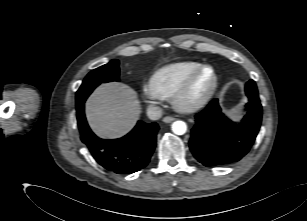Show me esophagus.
I'll use <instances>...</instances> for the list:
<instances>
[{"instance_id":"obj_1","label":"esophagus","mask_w":307,"mask_h":221,"mask_svg":"<svg viewBox=\"0 0 307 221\" xmlns=\"http://www.w3.org/2000/svg\"><path fill=\"white\" fill-rule=\"evenodd\" d=\"M174 120H175V118L174 117H170V116H166V117L163 118V122H165V123H171Z\"/></svg>"}]
</instances>
